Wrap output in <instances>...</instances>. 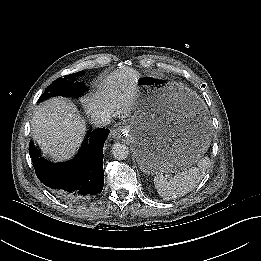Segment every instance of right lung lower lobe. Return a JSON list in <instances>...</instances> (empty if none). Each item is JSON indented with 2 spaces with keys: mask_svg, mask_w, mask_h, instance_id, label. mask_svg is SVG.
<instances>
[{
  "mask_svg": "<svg viewBox=\"0 0 261 261\" xmlns=\"http://www.w3.org/2000/svg\"><path fill=\"white\" fill-rule=\"evenodd\" d=\"M108 134L109 130L104 128L88 132L78 154L64 163L45 160L31 143L29 153L38 179L69 201L84 200L100 193L104 184L103 144Z\"/></svg>",
  "mask_w": 261,
  "mask_h": 261,
  "instance_id": "right-lung-lower-lobe-1",
  "label": "right lung lower lobe"
}]
</instances>
